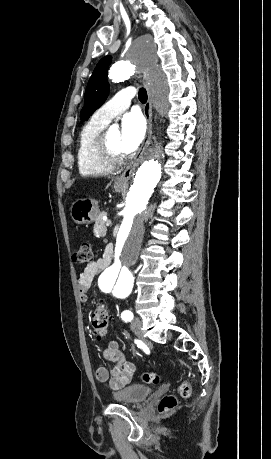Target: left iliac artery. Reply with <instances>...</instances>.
I'll list each match as a JSON object with an SVG mask.
<instances>
[{"label": "left iliac artery", "mask_w": 271, "mask_h": 459, "mask_svg": "<svg viewBox=\"0 0 271 459\" xmlns=\"http://www.w3.org/2000/svg\"><path fill=\"white\" fill-rule=\"evenodd\" d=\"M121 318L125 322H130L133 319V313L131 311H129V310H125V311L122 312Z\"/></svg>", "instance_id": "left-iliac-artery-1"}]
</instances>
